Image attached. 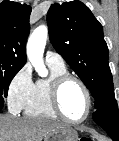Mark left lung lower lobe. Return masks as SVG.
<instances>
[{
  "mask_svg": "<svg viewBox=\"0 0 119 141\" xmlns=\"http://www.w3.org/2000/svg\"><path fill=\"white\" fill-rule=\"evenodd\" d=\"M93 120L107 132L113 141H119V110L115 99L94 112Z\"/></svg>",
  "mask_w": 119,
  "mask_h": 141,
  "instance_id": "left-lung-lower-lobe-1",
  "label": "left lung lower lobe"
}]
</instances>
